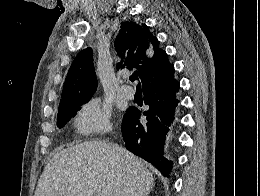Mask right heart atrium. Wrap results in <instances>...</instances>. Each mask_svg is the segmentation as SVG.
Segmentation results:
<instances>
[{"mask_svg":"<svg viewBox=\"0 0 260 196\" xmlns=\"http://www.w3.org/2000/svg\"><path fill=\"white\" fill-rule=\"evenodd\" d=\"M111 113L98 97H91L81 105L74 117V128L88 136L108 128ZM82 143H106L96 138L86 137ZM128 163V162H127Z\"/></svg>","mask_w":260,"mask_h":196,"instance_id":"d8ad5b80","label":"right heart atrium"}]
</instances>
